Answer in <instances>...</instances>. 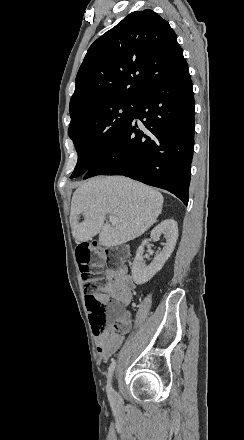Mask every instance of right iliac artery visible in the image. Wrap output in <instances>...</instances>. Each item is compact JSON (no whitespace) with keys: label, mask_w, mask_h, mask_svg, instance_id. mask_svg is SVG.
I'll list each match as a JSON object with an SVG mask.
<instances>
[{"label":"right iliac artery","mask_w":244,"mask_h":440,"mask_svg":"<svg viewBox=\"0 0 244 440\" xmlns=\"http://www.w3.org/2000/svg\"><path fill=\"white\" fill-rule=\"evenodd\" d=\"M115 359H111V364L108 368V376H107V386H106V391H107V395H108V399L110 401L111 406L115 405V400L113 398V388L111 386V377L113 374V371L115 369Z\"/></svg>","instance_id":"obj_1"}]
</instances>
